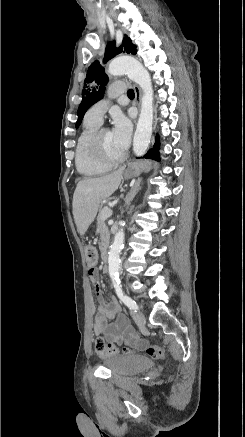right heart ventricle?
Listing matches in <instances>:
<instances>
[{
	"label": "right heart ventricle",
	"instance_id": "right-heart-ventricle-1",
	"mask_svg": "<svg viewBox=\"0 0 245 437\" xmlns=\"http://www.w3.org/2000/svg\"><path fill=\"white\" fill-rule=\"evenodd\" d=\"M99 123L85 117L75 146V165L77 171L86 177H95L107 173L110 165L97 161L89 149V141L93 133L99 128Z\"/></svg>",
	"mask_w": 245,
	"mask_h": 437
}]
</instances>
